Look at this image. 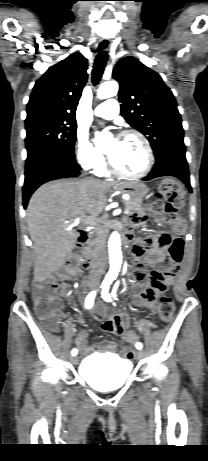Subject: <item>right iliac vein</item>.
Listing matches in <instances>:
<instances>
[{"label":"right iliac vein","instance_id":"63e3f726","mask_svg":"<svg viewBox=\"0 0 208 461\" xmlns=\"http://www.w3.org/2000/svg\"><path fill=\"white\" fill-rule=\"evenodd\" d=\"M70 360H71V363H72L73 365H77V364H78V357H77V356H72V357L70 358Z\"/></svg>","mask_w":208,"mask_h":461}]
</instances>
